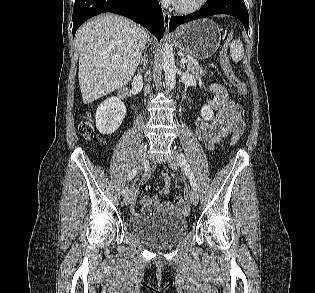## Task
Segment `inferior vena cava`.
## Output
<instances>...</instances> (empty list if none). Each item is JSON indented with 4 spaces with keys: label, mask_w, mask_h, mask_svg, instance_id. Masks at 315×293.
I'll return each instance as SVG.
<instances>
[{
    "label": "inferior vena cava",
    "mask_w": 315,
    "mask_h": 293,
    "mask_svg": "<svg viewBox=\"0 0 315 293\" xmlns=\"http://www.w3.org/2000/svg\"><path fill=\"white\" fill-rule=\"evenodd\" d=\"M143 70H141L140 72L142 73ZM138 78H141V75H138ZM145 93H149V87L146 88Z\"/></svg>",
    "instance_id": "602c4592"
}]
</instances>
